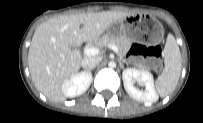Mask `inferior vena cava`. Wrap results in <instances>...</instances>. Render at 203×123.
Segmentation results:
<instances>
[{"label":"inferior vena cava","mask_w":203,"mask_h":123,"mask_svg":"<svg viewBox=\"0 0 203 123\" xmlns=\"http://www.w3.org/2000/svg\"><path fill=\"white\" fill-rule=\"evenodd\" d=\"M100 60L98 57H87L82 60L81 65L84 69L91 70L99 64Z\"/></svg>","instance_id":"602c4592"}]
</instances>
